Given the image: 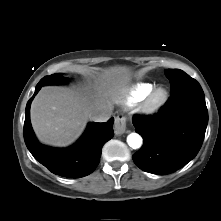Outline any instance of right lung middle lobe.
I'll use <instances>...</instances> for the list:
<instances>
[{"label": "right lung middle lobe", "instance_id": "1", "mask_svg": "<svg viewBox=\"0 0 221 221\" xmlns=\"http://www.w3.org/2000/svg\"><path fill=\"white\" fill-rule=\"evenodd\" d=\"M68 81V78L63 77L62 73L52 74L50 76H46L40 80V84L42 85H53V84H64Z\"/></svg>", "mask_w": 221, "mask_h": 221}]
</instances>
